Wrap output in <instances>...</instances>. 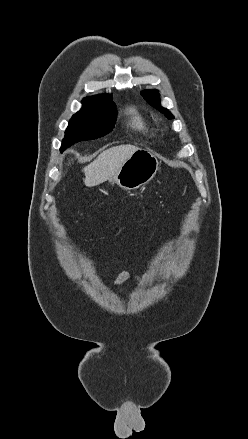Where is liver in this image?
I'll use <instances>...</instances> for the list:
<instances>
[{
	"label": "liver",
	"mask_w": 248,
	"mask_h": 439,
	"mask_svg": "<svg viewBox=\"0 0 248 439\" xmlns=\"http://www.w3.org/2000/svg\"><path fill=\"white\" fill-rule=\"evenodd\" d=\"M140 148L126 144L103 151L93 162L83 168L87 187L97 186L113 177L122 164Z\"/></svg>",
	"instance_id": "1"
}]
</instances>
